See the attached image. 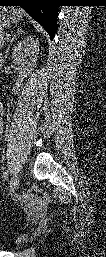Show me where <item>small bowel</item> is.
Segmentation results:
<instances>
[{"label":"small bowel","instance_id":"1","mask_svg":"<svg viewBox=\"0 0 106 257\" xmlns=\"http://www.w3.org/2000/svg\"><path fill=\"white\" fill-rule=\"evenodd\" d=\"M1 111H2V110H1ZM0 127H1V130H2V124H1V126H0Z\"/></svg>","mask_w":106,"mask_h":257}]
</instances>
